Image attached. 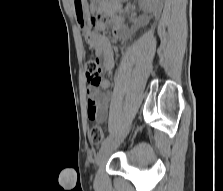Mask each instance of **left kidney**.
Masks as SVG:
<instances>
[{
    "mask_svg": "<svg viewBox=\"0 0 223 191\" xmlns=\"http://www.w3.org/2000/svg\"><path fill=\"white\" fill-rule=\"evenodd\" d=\"M140 6L158 17L163 7V0H140Z\"/></svg>",
    "mask_w": 223,
    "mask_h": 191,
    "instance_id": "5707ae66",
    "label": "left kidney"
}]
</instances>
